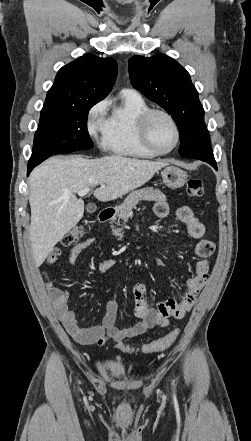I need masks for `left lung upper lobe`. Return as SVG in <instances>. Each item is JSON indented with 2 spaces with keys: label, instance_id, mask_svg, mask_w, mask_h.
<instances>
[{
  "label": "left lung upper lobe",
  "instance_id": "obj_1",
  "mask_svg": "<svg viewBox=\"0 0 251 441\" xmlns=\"http://www.w3.org/2000/svg\"><path fill=\"white\" fill-rule=\"evenodd\" d=\"M128 67L133 87L173 117L180 134V155L189 153L187 141L205 126L204 109L189 73L163 54L132 57Z\"/></svg>",
  "mask_w": 251,
  "mask_h": 441
}]
</instances>
